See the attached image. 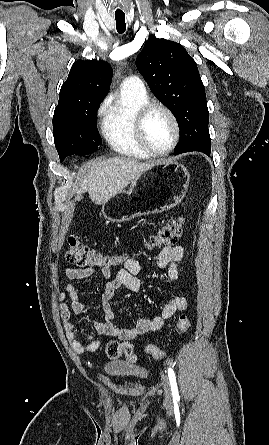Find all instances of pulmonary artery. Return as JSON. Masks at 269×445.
I'll return each instance as SVG.
<instances>
[{
    "instance_id": "pulmonary-artery-1",
    "label": "pulmonary artery",
    "mask_w": 269,
    "mask_h": 445,
    "mask_svg": "<svg viewBox=\"0 0 269 445\" xmlns=\"http://www.w3.org/2000/svg\"><path fill=\"white\" fill-rule=\"evenodd\" d=\"M121 88L135 91L140 94H145L146 89L142 80L138 76H129L121 84Z\"/></svg>"
}]
</instances>
